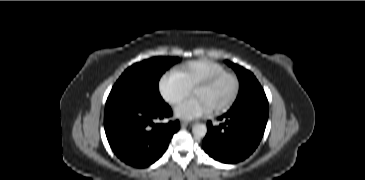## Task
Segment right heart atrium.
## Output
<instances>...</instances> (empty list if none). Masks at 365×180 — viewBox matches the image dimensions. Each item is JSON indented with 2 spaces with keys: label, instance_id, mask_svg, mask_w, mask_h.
<instances>
[{
  "label": "right heart atrium",
  "instance_id": "obj_1",
  "mask_svg": "<svg viewBox=\"0 0 365 180\" xmlns=\"http://www.w3.org/2000/svg\"><path fill=\"white\" fill-rule=\"evenodd\" d=\"M159 88L163 96L173 106L180 104L187 97L185 92L178 90V80L174 75L165 76L161 80Z\"/></svg>",
  "mask_w": 365,
  "mask_h": 180
}]
</instances>
